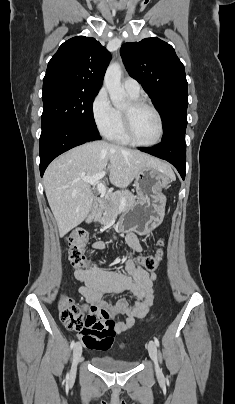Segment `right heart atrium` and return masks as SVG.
<instances>
[{
	"label": "right heart atrium",
	"instance_id": "1",
	"mask_svg": "<svg viewBox=\"0 0 235 404\" xmlns=\"http://www.w3.org/2000/svg\"><path fill=\"white\" fill-rule=\"evenodd\" d=\"M91 112L98 130L106 135L114 125L116 111L105 89H100L94 97Z\"/></svg>",
	"mask_w": 235,
	"mask_h": 404
}]
</instances>
